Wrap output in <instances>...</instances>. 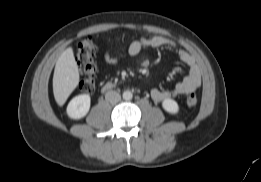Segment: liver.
Returning <instances> with one entry per match:
<instances>
[{
	"instance_id": "liver-1",
	"label": "liver",
	"mask_w": 261,
	"mask_h": 182,
	"mask_svg": "<svg viewBox=\"0 0 261 182\" xmlns=\"http://www.w3.org/2000/svg\"><path fill=\"white\" fill-rule=\"evenodd\" d=\"M78 83V66L73 49L68 47L58 58L53 75V93L59 106L64 105Z\"/></svg>"
}]
</instances>
